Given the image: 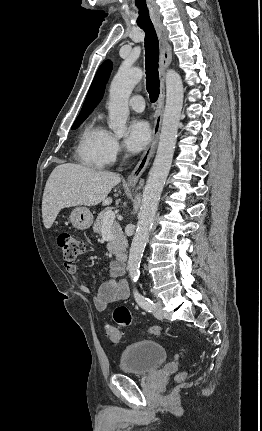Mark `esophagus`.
Returning a JSON list of instances; mask_svg holds the SVG:
<instances>
[{"label": "esophagus", "mask_w": 262, "mask_h": 431, "mask_svg": "<svg viewBox=\"0 0 262 431\" xmlns=\"http://www.w3.org/2000/svg\"><path fill=\"white\" fill-rule=\"evenodd\" d=\"M156 30L160 39V93L154 113V127L151 135V140L145 151L143 152L139 162L129 175L127 183L129 186H135L155 153L164 112L165 100V73L172 61V51L168 40V31L163 24L156 25Z\"/></svg>", "instance_id": "34e87169"}]
</instances>
